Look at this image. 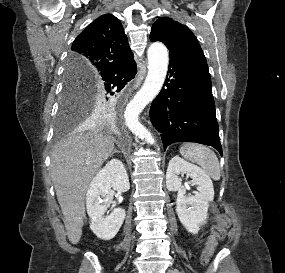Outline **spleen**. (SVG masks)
<instances>
[{"mask_svg": "<svg viewBox=\"0 0 285 273\" xmlns=\"http://www.w3.org/2000/svg\"><path fill=\"white\" fill-rule=\"evenodd\" d=\"M180 154L187 160L197 163L212 179H220V166L216 154L202 144L186 143L180 148Z\"/></svg>", "mask_w": 285, "mask_h": 273, "instance_id": "3e777b00", "label": "spleen"}]
</instances>
